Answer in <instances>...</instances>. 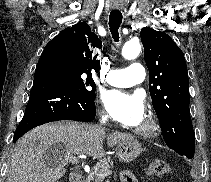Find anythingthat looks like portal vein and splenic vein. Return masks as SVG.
Instances as JSON below:
<instances>
[{"label": "portal vein and splenic vein", "instance_id": "obj_1", "mask_svg": "<svg viewBox=\"0 0 211 182\" xmlns=\"http://www.w3.org/2000/svg\"><path fill=\"white\" fill-rule=\"evenodd\" d=\"M65 161H66V162H71V163H73V164H78V163H79L78 159H77L74 155H72V154H70V153H67V154L65 155ZM108 173H111V171L108 172Z\"/></svg>", "mask_w": 211, "mask_h": 182}]
</instances>
